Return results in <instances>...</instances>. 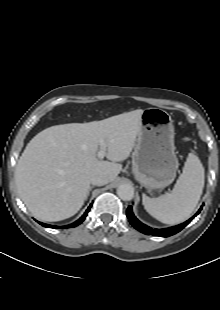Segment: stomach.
<instances>
[{"instance_id": "obj_1", "label": "stomach", "mask_w": 220, "mask_h": 310, "mask_svg": "<svg viewBox=\"0 0 220 310\" xmlns=\"http://www.w3.org/2000/svg\"><path fill=\"white\" fill-rule=\"evenodd\" d=\"M178 166L171 116L163 109H145L132 153L135 179L149 192L161 189L174 181Z\"/></svg>"}]
</instances>
